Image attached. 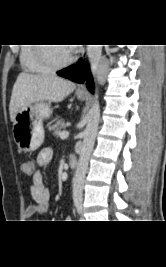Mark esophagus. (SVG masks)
Here are the masks:
<instances>
[{
    "mask_svg": "<svg viewBox=\"0 0 166 267\" xmlns=\"http://www.w3.org/2000/svg\"><path fill=\"white\" fill-rule=\"evenodd\" d=\"M78 90H79V91H85L86 89H85V86H84V85H80V86L78 87Z\"/></svg>",
    "mask_w": 166,
    "mask_h": 267,
    "instance_id": "esophagus-1",
    "label": "esophagus"
}]
</instances>
